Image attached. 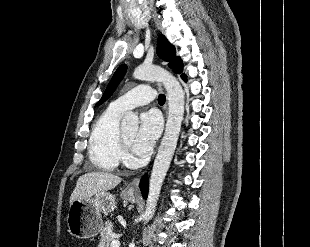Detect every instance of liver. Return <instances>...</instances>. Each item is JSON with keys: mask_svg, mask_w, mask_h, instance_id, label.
Wrapping results in <instances>:
<instances>
[{"mask_svg": "<svg viewBox=\"0 0 310 247\" xmlns=\"http://www.w3.org/2000/svg\"><path fill=\"white\" fill-rule=\"evenodd\" d=\"M122 179L108 172H88L79 177L70 196V204L77 199H88L101 191L115 188Z\"/></svg>", "mask_w": 310, "mask_h": 247, "instance_id": "1", "label": "liver"}]
</instances>
